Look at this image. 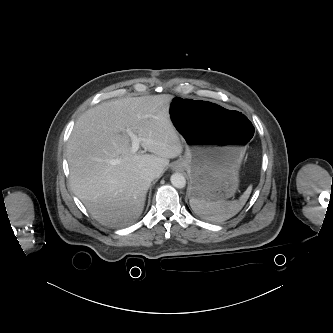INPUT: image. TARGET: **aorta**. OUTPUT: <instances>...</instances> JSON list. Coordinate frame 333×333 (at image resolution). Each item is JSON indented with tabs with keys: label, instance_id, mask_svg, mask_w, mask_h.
Returning <instances> with one entry per match:
<instances>
[{
	"label": "aorta",
	"instance_id": "obj_1",
	"mask_svg": "<svg viewBox=\"0 0 333 333\" xmlns=\"http://www.w3.org/2000/svg\"><path fill=\"white\" fill-rule=\"evenodd\" d=\"M170 181L172 185L176 188H184L186 185L185 177L180 173H174L171 175Z\"/></svg>",
	"mask_w": 333,
	"mask_h": 333
}]
</instances>
